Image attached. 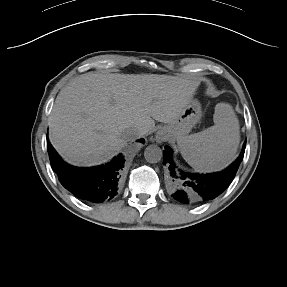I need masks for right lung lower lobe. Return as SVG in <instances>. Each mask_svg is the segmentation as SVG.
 Instances as JSON below:
<instances>
[{
    "label": "right lung lower lobe",
    "instance_id": "right-lung-lower-lobe-1",
    "mask_svg": "<svg viewBox=\"0 0 287 287\" xmlns=\"http://www.w3.org/2000/svg\"><path fill=\"white\" fill-rule=\"evenodd\" d=\"M143 142V139L140 140ZM47 150L52 169L60 183L76 197L89 203H101L117 194L124 158L116 157L110 163L93 168H77L66 164L47 139Z\"/></svg>",
    "mask_w": 287,
    "mask_h": 287
}]
</instances>
